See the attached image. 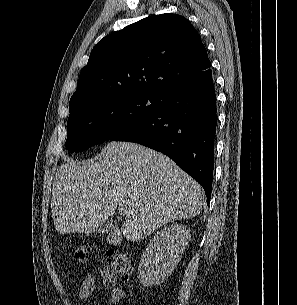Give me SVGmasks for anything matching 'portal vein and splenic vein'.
I'll return each mask as SVG.
<instances>
[{"label":"portal vein and splenic vein","mask_w":297,"mask_h":305,"mask_svg":"<svg viewBox=\"0 0 297 305\" xmlns=\"http://www.w3.org/2000/svg\"><path fill=\"white\" fill-rule=\"evenodd\" d=\"M117 211L120 215H125L126 214L125 210L121 207H118Z\"/></svg>","instance_id":"18ae733b"}]
</instances>
